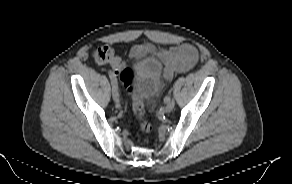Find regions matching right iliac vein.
<instances>
[{"mask_svg":"<svg viewBox=\"0 0 292 184\" xmlns=\"http://www.w3.org/2000/svg\"><path fill=\"white\" fill-rule=\"evenodd\" d=\"M112 97H113V100L115 102H119L120 101V94H119V90H118V86L117 85H113Z\"/></svg>","mask_w":292,"mask_h":184,"instance_id":"right-iliac-vein-1","label":"right iliac vein"}]
</instances>
